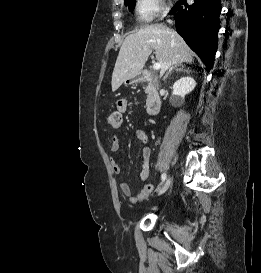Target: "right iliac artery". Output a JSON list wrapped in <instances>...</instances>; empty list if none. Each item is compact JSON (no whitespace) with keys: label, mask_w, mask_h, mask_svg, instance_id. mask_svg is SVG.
<instances>
[{"label":"right iliac artery","mask_w":261,"mask_h":273,"mask_svg":"<svg viewBox=\"0 0 261 273\" xmlns=\"http://www.w3.org/2000/svg\"><path fill=\"white\" fill-rule=\"evenodd\" d=\"M161 179H162V182H164V181L166 180V174H165V173H163V174L161 175Z\"/></svg>","instance_id":"obj_1"}]
</instances>
